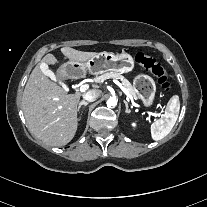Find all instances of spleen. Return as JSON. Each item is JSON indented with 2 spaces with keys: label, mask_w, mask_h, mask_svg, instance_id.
Listing matches in <instances>:
<instances>
[{
  "label": "spleen",
  "mask_w": 207,
  "mask_h": 207,
  "mask_svg": "<svg viewBox=\"0 0 207 207\" xmlns=\"http://www.w3.org/2000/svg\"><path fill=\"white\" fill-rule=\"evenodd\" d=\"M168 112L165 113V120L159 121L152 126L151 138L154 141H159L165 138L173 129L179 114L178 97L174 96L168 103ZM159 124H161L159 126Z\"/></svg>",
  "instance_id": "spleen-1"
}]
</instances>
